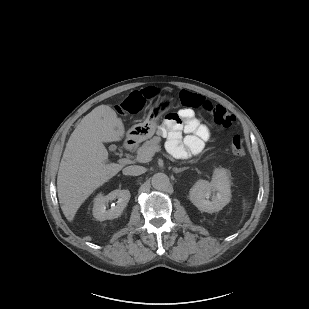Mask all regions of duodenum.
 <instances>
[{"label":"duodenum","instance_id":"obj_1","mask_svg":"<svg viewBox=\"0 0 309 309\" xmlns=\"http://www.w3.org/2000/svg\"><path fill=\"white\" fill-rule=\"evenodd\" d=\"M134 146H135V141L132 138L129 137L125 140V143H124L125 149L130 150L134 148Z\"/></svg>","mask_w":309,"mask_h":309}]
</instances>
